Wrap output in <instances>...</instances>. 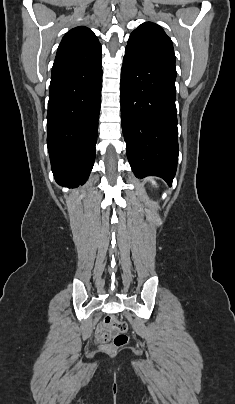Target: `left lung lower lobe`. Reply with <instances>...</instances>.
Wrapping results in <instances>:
<instances>
[{"label": "left lung lower lobe", "mask_w": 235, "mask_h": 404, "mask_svg": "<svg viewBox=\"0 0 235 404\" xmlns=\"http://www.w3.org/2000/svg\"><path fill=\"white\" fill-rule=\"evenodd\" d=\"M176 68L125 49L121 118L127 157L138 178L158 176L171 186L178 160Z\"/></svg>", "instance_id": "1"}]
</instances>
